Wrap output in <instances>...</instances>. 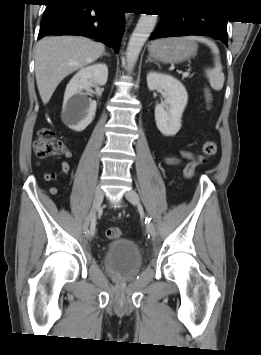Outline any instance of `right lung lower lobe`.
I'll return each instance as SVG.
<instances>
[{
  "label": "right lung lower lobe",
  "instance_id": "1",
  "mask_svg": "<svg viewBox=\"0 0 261 355\" xmlns=\"http://www.w3.org/2000/svg\"><path fill=\"white\" fill-rule=\"evenodd\" d=\"M103 4L88 0H46L38 39L46 35L77 34L96 38L118 52L125 28L124 12L93 8Z\"/></svg>",
  "mask_w": 261,
  "mask_h": 355
}]
</instances>
